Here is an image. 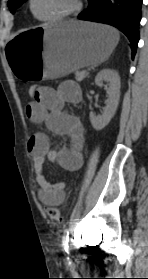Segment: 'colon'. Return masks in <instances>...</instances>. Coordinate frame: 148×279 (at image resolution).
<instances>
[{
    "label": "colon",
    "instance_id": "obj_1",
    "mask_svg": "<svg viewBox=\"0 0 148 279\" xmlns=\"http://www.w3.org/2000/svg\"><path fill=\"white\" fill-rule=\"evenodd\" d=\"M39 89L40 87L38 85H31L28 89V95L35 99L39 95ZM47 215L55 221L62 220V214L56 206H49L47 208Z\"/></svg>",
    "mask_w": 148,
    "mask_h": 279
}]
</instances>
